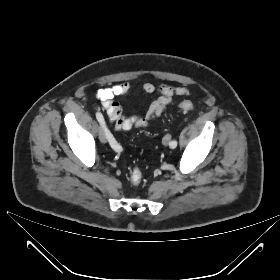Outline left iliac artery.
<instances>
[{
  "instance_id": "obj_1",
  "label": "left iliac artery",
  "mask_w": 280,
  "mask_h": 280,
  "mask_svg": "<svg viewBox=\"0 0 280 280\" xmlns=\"http://www.w3.org/2000/svg\"><path fill=\"white\" fill-rule=\"evenodd\" d=\"M169 145H170V148L174 149V148L177 147V141L176 140H172Z\"/></svg>"
}]
</instances>
